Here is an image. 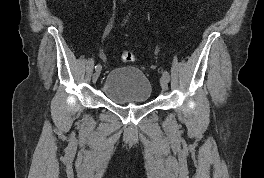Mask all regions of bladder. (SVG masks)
I'll list each match as a JSON object with an SVG mask.
<instances>
[{
    "label": "bladder",
    "mask_w": 264,
    "mask_h": 178,
    "mask_svg": "<svg viewBox=\"0 0 264 178\" xmlns=\"http://www.w3.org/2000/svg\"><path fill=\"white\" fill-rule=\"evenodd\" d=\"M101 93L118 105L140 104L150 100L152 86L140 69L118 67L106 75L101 84Z\"/></svg>",
    "instance_id": "1"
}]
</instances>
